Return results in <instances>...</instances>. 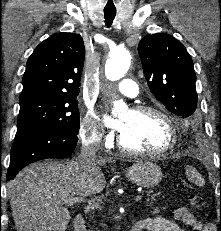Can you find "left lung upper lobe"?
I'll return each instance as SVG.
<instances>
[{
	"label": "left lung upper lobe",
	"mask_w": 221,
	"mask_h": 231,
	"mask_svg": "<svg viewBox=\"0 0 221 231\" xmlns=\"http://www.w3.org/2000/svg\"><path fill=\"white\" fill-rule=\"evenodd\" d=\"M138 52L150 91L172 113L187 118L197 107L196 74L182 43L166 33L144 37Z\"/></svg>",
	"instance_id": "5c2ea615"
}]
</instances>
